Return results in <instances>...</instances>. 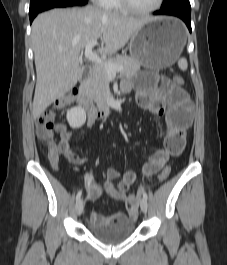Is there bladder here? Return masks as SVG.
<instances>
[{
  "label": "bladder",
  "mask_w": 227,
  "mask_h": 265,
  "mask_svg": "<svg viewBox=\"0 0 227 265\" xmlns=\"http://www.w3.org/2000/svg\"><path fill=\"white\" fill-rule=\"evenodd\" d=\"M88 229L98 240L108 244H116L133 235L135 232V222L130 219L115 226H96L89 224Z\"/></svg>",
  "instance_id": "bladder-1"
}]
</instances>
